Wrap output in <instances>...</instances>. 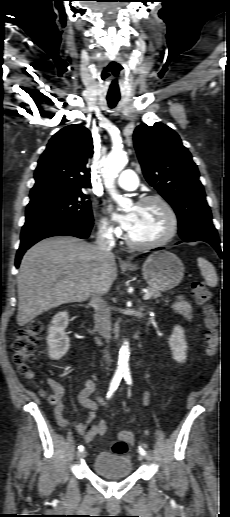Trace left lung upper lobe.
I'll use <instances>...</instances> for the list:
<instances>
[{"instance_id": "5c2ea615", "label": "left lung upper lobe", "mask_w": 230, "mask_h": 517, "mask_svg": "<svg viewBox=\"0 0 230 517\" xmlns=\"http://www.w3.org/2000/svg\"><path fill=\"white\" fill-rule=\"evenodd\" d=\"M134 146L146 180L174 208L181 238L215 230L199 171L178 134L160 122L141 124Z\"/></svg>"}]
</instances>
